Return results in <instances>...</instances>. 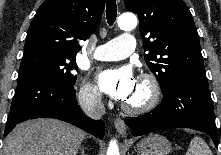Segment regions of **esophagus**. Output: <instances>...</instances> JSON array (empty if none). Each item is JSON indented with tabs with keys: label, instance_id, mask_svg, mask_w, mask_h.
Segmentation results:
<instances>
[{
	"label": "esophagus",
	"instance_id": "obj_1",
	"mask_svg": "<svg viewBox=\"0 0 221 155\" xmlns=\"http://www.w3.org/2000/svg\"><path fill=\"white\" fill-rule=\"evenodd\" d=\"M114 126H115L116 130L118 131V133H120L121 135L126 134V124L123 119L117 117L114 120Z\"/></svg>",
	"mask_w": 221,
	"mask_h": 155
}]
</instances>
